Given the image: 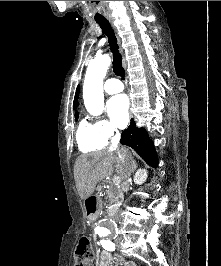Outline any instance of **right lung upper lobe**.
Here are the masks:
<instances>
[{
	"mask_svg": "<svg viewBox=\"0 0 221 266\" xmlns=\"http://www.w3.org/2000/svg\"><path fill=\"white\" fill-rule=\"evenodd\" d=\"M78 97H79V85L76 89V94H75V97H74V102H73V108L76 109L77 106H78ZM76 115H78V113H76Z\"/></svg>",
	"mask_w": 221,
	"mask_h": 266,
	"instance_id": "cb5924a9",
	"label": "right lung upper lobe"
}]
</instances>
